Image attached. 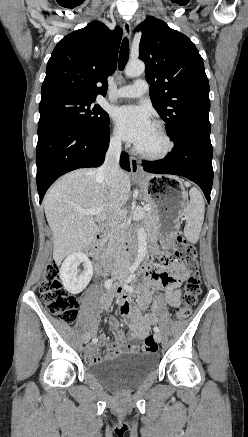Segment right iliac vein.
I'll use <instances>...</instances> for the list:
<instances>
[{
  "label": "right iliac vein",
  "instance_id": "1",
  "mask_svg": "<svg viewBox=\"0 0 248 437\" xmlns=\"http://www.w3.org/2000/svg\"><path fill=\"white\" fill-rule=\"evenodd\" d=\"M89 340H90V335L89 334H85L84 337H83V342L86 344V343L89 342Z\"/></svg>",
  "mask_w": 248,
  "mask_h": 437
}]
</instances>
